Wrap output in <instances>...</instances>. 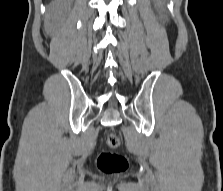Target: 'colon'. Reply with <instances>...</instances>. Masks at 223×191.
<instances>
[{
  "mask_svg": "<svg viewBox=\"0 0 223 191\" xmlns=\"http://www.w3.org/2000/svg\"><path fill=\"white\" fill-rule=\"evenodd\" d=\"M119 145V136L116 134L109 135L106 141V148L99 153L97 158V167L102 173L112 175L127 171V159L122 154L115 152Z\"/></svg>",
  "mask_w": 223,
  "mask_h": 191,
  "instance_id": "1",
  "label": "colon"
}]
</instances>
